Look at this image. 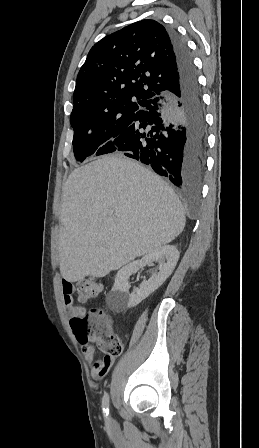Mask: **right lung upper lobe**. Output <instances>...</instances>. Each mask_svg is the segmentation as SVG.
I'll list each match as a JSON object with an SVG mask.
<instances>
[{"label": "right lung upper lobe", "mask_w": 259, "mask_h": 448, "mask_svg": "<svg viewBox=\"0 0 259 448\" xmlns=\"http://www.w3.org/2000/svg\"><path fill=\"white\" fill-rule=\"evenodd\" d=\"M178 85L166 28L155 20L138 21L91 48L77 76L71 115L144 106Z\"/></svg>", "instance_id": "right-lung-upper-lobe-1"}]
</instances>
